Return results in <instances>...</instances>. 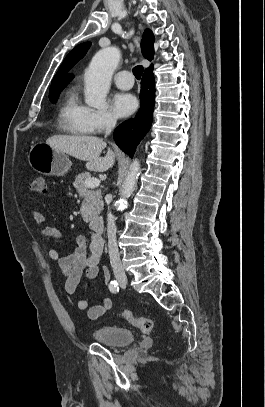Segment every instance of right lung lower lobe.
Returning a JSON list of instances; mask_svg holds the SVG:
<instances>
[{
  "mask_svg": "<svg viewBox=\"0 0 265 407\" xmlns=\"http://www.w3.org/2000/svg\"><path fill=\"white\" fill-rule=\"evenodd\" d=\"M141 107L134 119L120 124L114 131V140L118 147L133 157L137 145L149 131L155 102V80L153 66L146 69L141 80Z\"/></svg>",
  "mask_w": 265,
  "mask_h": 407,
  "instance_id": "1",
  "label": "right lung lower lobe"
}]
</instances>
